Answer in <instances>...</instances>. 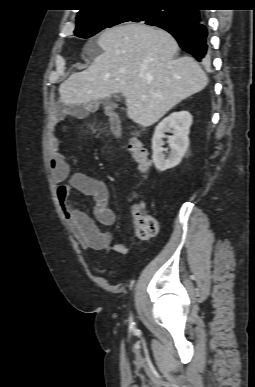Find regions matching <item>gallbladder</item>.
<instances>
[{"label":"gallbladder","instance_id":"obj_1","mask_svg":"<svg viewBox=\"0 0 255 387\" xmlns=\"http://www.w3.org/2000/svg\"><path fill=\"white\" fill-rule=\"evenodd\" d=\"M117 100H118V96H114ZM101 103H103L104 105H111L112 102H111V99L110 98H104L101 100Z\"/></svg>","mask_w":255,"mask_h":387}]
</instances>
